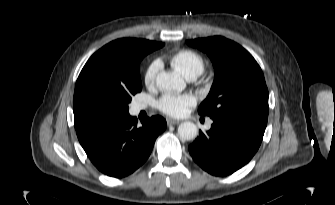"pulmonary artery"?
<instances>
[{
  "label": "pulmonary artery",
  "mask_w": 335,
  "mask_h": 205,
  "mask_svg": "<svg viewBox=\"0 0 335 205\" xmlns=\"http://www.w3.org/2000/svg\"><path fill=\"white\" fill-rule=\"evenodd\" d=\"M197 76H190L189 79L191 80H194L196 79ZM144 108V106L142 104H137L136 105V110L139 111V110H142Z\"/></svg>",
  "instance_id": "1"
}]
</instances>
